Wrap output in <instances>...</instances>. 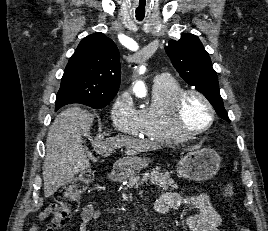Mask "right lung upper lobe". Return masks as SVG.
<instances>
[{
	"label": "right lung upper lobe",
	"mask_w": 268,
	"mask_h": 231,
	"mask_svg": "<svg viewBox=\"0 0 268 231\" xmlns=\"http://www.w3.org/2000/svg\"><path fill=\"white\" fill-rule=\"evenodd\" d=\"M120 85L119 51L101 32L85 37L71 56L56 101L62 104L114 98Z\"/></svg>",
	"instance_id": "1"
}]
</instances>
